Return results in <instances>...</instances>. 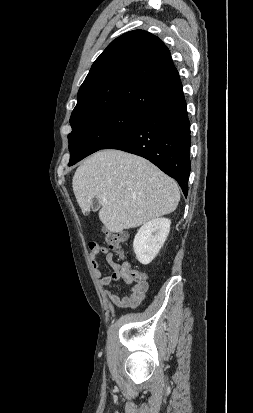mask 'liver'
<instances>
[{
    "label": "liver",
    "mask_w": 253,
    "mask_h": 413,
    "mask_svg": "<svg viewBox=\"0 0 253 413\" xmlns=\"http://www.w3.org/2000/svg\"><path fill=\"white\" fill-rule=\"evenodd\" d=\"M76 200L86 214L94 198L99 219L120 233L169 214L178 206L177 183L148 160L121 150H101L88 157L72 180Z\"/></svg>",
    "instance_id": "obj_1"
}]
</instances>
